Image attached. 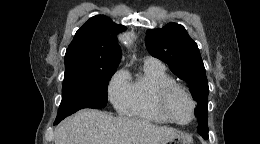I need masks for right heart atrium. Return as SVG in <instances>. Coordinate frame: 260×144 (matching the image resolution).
<instances>
[{
	"instance_id": "right-heart-atrium-1",
	"label": "right heart atrium",
	"mask_w": 260,
	"mask_h": 144,
	"mask_svg": "<svg viewBox=\"0 0 260 144\" xmlns=\"http://www.w3.org/2000/svg\"><path fill=\"white\" fill-rule=\"evenodd\" d=\"M107 94L113 107L117 111L125 113L130 98V81L125 69L118 70L112 76L108 84Z\"/></svg>"
}]
</instances>
